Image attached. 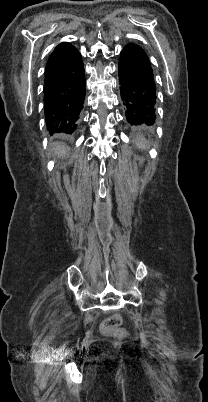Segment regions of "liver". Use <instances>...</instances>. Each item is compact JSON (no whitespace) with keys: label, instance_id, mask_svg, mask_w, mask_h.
Here are the masks:
<instances>
[{"label":"liver","instance_id":"liver-1","mask_svg":"<svg viewBox=\"0 0 208 402\" xmlns=\"http://www.w3.org/2000/svg\"><path fill=\"white\" fill-rule=\"evenodd\" d=\"M55 154H57L58 158H64L65 156V146H61V144H56L55 148Z\"/></svg>","mask_w":208,"mask_h":402}]
</instances>
